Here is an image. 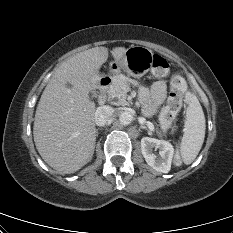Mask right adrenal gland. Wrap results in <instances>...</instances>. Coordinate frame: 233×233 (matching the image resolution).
<instances>
[{
    "label": "right adrenal gland",
    "mask_w": 233,
    "mask_h": 233,
    "mask_svg": "<svg viewBox=\"0 0 233 233\" xmlns=\"http://www.w3.org/2000/svg\"><path fill=\"white\" fill-rule=\"evenodd\" d=\"M98 131H99V129L96 130V136H98Z\"/></svg>",
    "instance_id": "obj_1"
}]
</instances>
